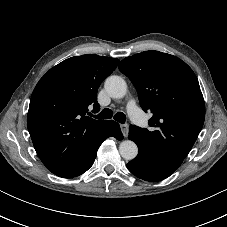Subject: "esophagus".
<instances>
[{
  "instance_id": "1",
  "label": "esophagus",
  "mask_w": 227,
  "mask_h": 227,
  "mask_svg": "<svg viewBox=\"0 0 227 227\" xmlns=\"http://www.w3.org/2000/svg\"><path fill=\"white\" fill-rule=\"evenodd\" d=\"M121 127V131L124 137L128 136V132H129V125L128 124H122L120 125Z\"/></svg>"
}]
</instances>
